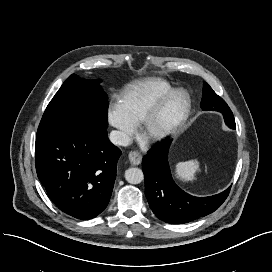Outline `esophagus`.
Masks as SVG:
<instances>
[{
    "label": "esophagus",
    "mask_w": 272,
    "mask_h": 272,
    "mask_svg": "<svg viewBox=\"0 0 272 272\" xmlns=\"http://www.w3.org/2000/svg\"><path fill=\"white\" fill-rule=\"evenodd\" d=\"M128 158L133 166H138L142 161V156L138 152H130Z\"/></svg>",
    "instance_id": "obj_1"
}]
</instances>
